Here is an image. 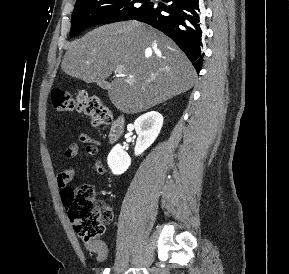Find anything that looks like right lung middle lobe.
I'll list each match as a JSON object with an SVG mask.
<instances>
[{"instance_id": "obj_1", "label": "right lung middle lobe", "mask_w": 289, "mask_h": 274, "mask_svg": "<svg viewBox=\"0 0 289 274\" xmlns=\"http://www.w3.org/2000/svg\"><path fill=\"white\" fill-rule=\"evenodd\" d=\"M151 5L150 0H77L69 35L74 37L93 25L134 19Z\"/></svg>"}]
</instances>
